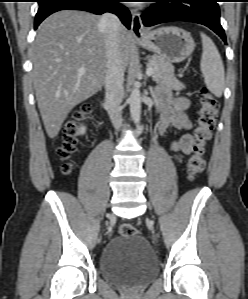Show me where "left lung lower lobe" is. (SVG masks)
Here are the masks:
<instances>
[{
  "mask_svg": "<svg viewBox=\"0 0 248 299\" xmlns=\"http://www.w3.org/2000/svg\"><path fill=\"white\" fill-rule=\"evenodd\" d=\"M156 4L142 14L145 26L170 21H188L205 25L218 34L226 43L224 30L220 24L217 0H154Z\"/></svg>",
  "mask_w": 248,
  "mask_h": 299,
  "instance_id": "0a47b994",
  "label": "left lung lower lobe"
}]
</instances>
